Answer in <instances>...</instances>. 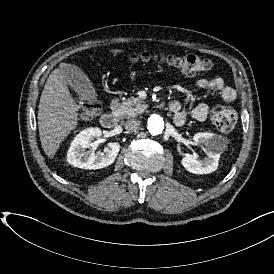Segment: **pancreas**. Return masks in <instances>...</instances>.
Here are the masks:
<instances>
[{
	"instance_id": "1",
	"label": "pancreas",
	"mask_w": 274,
	"mask_h": 274,
	"mask_svg": "<svg viewBox=\"0 0 274 274\" xmlns=\"http://www.w3.org/2000/svg\"><path fill=\"white\" fill-rule=\"evenodd\" d=\"M147 105L141 104L140 100L135 97H130L126 101L113 111V115L119 118H131L136 117L143 113Z\"/></svg>"
}]
</instances>
